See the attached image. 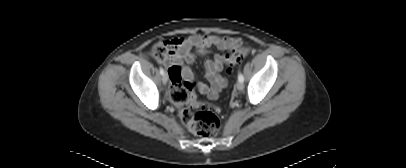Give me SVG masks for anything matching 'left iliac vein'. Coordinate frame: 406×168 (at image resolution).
<instances>
[{
  "label": "left iliac vein",
  "instance_id": "obj_1",
  "mask_svg": "<svg viewBox=\"0 0 406 168\" xmlns=\"http://www.w3.org/2000/svg\"><path fill=\"white\" fill-rule=\"evenodd\" d=\"M236 88H237L239 91H242V90L244 89V84H243V82L238 81V82L236 83Z\"/></svg>",
  "mask_w": 406,
  "mask_h": 168
}]
</instances>
